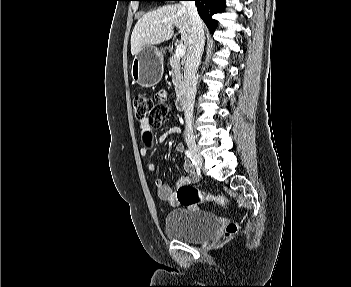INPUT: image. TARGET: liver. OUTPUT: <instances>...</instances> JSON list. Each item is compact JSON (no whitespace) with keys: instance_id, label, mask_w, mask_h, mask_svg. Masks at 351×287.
<instances>
[{"instance_id":"1","label":"liver","mask_w":351,"mask_h":287,"mask_svg":"<svg viewBox=\"0 0 351 287\" xmlns=\"http://www.w3.org/2000/svg\"><path fill=\"white\" fill-rule=\"evenodd\" d=\"M174 27L179 28L182 43L188 51L192 40L191 21L187 9L177 3L150 11L137 21L131 34V54L136 55L143 46L170 40Z\"/></svg>"}]
</instances>
